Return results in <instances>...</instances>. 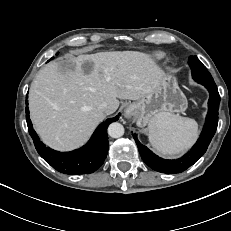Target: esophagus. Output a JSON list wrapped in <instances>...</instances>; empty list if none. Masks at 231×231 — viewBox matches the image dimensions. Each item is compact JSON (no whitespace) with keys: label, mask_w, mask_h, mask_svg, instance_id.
<instances>
[{"label":"esophagus","mask_w":231,"mask_h":231,"mask_svg":"<svg viewBox=\"0 0 231 231\" xmlns=\"http://www.w3.org/2000/svg\"><path fill=\"white\" fill-rule=\"evenodd\" d=\"M136 112V108L134 105H129L124 110V116L126 118H131Z\"/></svg>","instance_id":"esophagus-1"}]
</instances>
